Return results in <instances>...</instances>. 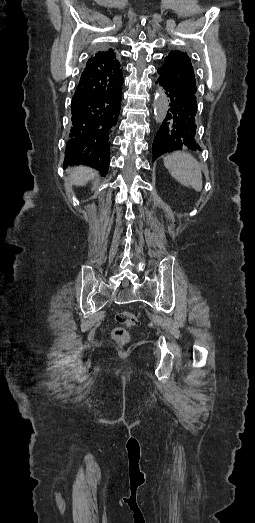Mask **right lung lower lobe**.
<instances>
[{
  "label": "right lung lower lobe",
  "instance_id": "obj_1",
  "mask_svg": "<svg viewBox=\"0 0 255 523\" xmlns=\"http://www.w3.org/2000/svg\"><path fill=\"white\" fill-rule=\"evenodd\" d=\"M79 112L83 114V153L91 155L94 153V141L100 136V99L93 96L79 102Z\"/></svg>",
  "mask_w": 255,
  "mask_h": 523
}]
</instances>
